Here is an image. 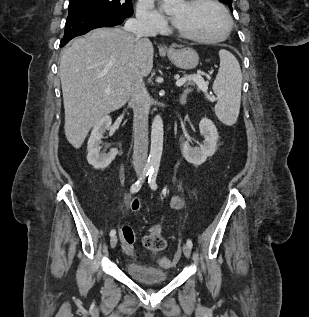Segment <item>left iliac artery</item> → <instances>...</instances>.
Returning <instances> with one entry per match:
<instances>
[{
    "label": "left iliac artery",
    "instance_id": "44dca946",
    "mask_svg": "<svg viewBox=\"0 0 309 317\" xmlns=\"http://www.w3.org/2000/svg\"><path fill=\"white\" fill-rule=\"evenodd\" d=\"M158 170H159V165H154V167L149 175V178H148V183H149L151 189H153V190L157 189L156 178H157ZM187 245L192 248L193 243L190 239L187 240Z\"/></svg>",
    "mask_w": 309,
    "mask_h": 317
}]
</instances>
